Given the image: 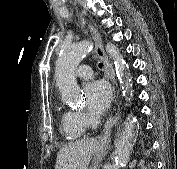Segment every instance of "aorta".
<instances>
[{
  "mask_svg": "<svg viewBox=\"0 0 177 169\" xmlns=\"http://www.w3.org/2000/svg\"><path fill=\"white\" fill-rule=\"evenodd\" d=\"M92 43L82 41L72 45H66L56 61L55 77L56 86L60 92L62 100L71 106H79L82 102L80 88L75 78V70L82 59L91 52ZM106 51L114 60L116 73L119 77L125 78L124 86L127 91L132 88L131 78L127 73L128 65L112 44H107ZM130 100V98L128 99ZM138 124L136 119L128 116L123 127L117 134L115 143V160L119 167H125L129 161L133 148Z\"/></svg>",
  "mask_w": 177,
  "mask_h": 169,
  "instance_id": "obj_1",
  "label": "aorta"
}]
</instances>
